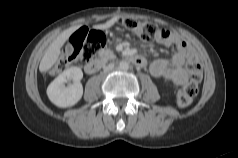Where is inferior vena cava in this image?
<instances>
[{"label": "inferior vena cava", "mask_w": 238, "mask_h": 158, "mask_svg": "<svg viewBox=\"0 0 238 158\" xmlns=\"http://www.w3.org/2000/svg\"><path fill=\"white\" fill-rule=\"evenodd\" d=\"M113 68H114V64L110 63V64H108L107 66L104 67V71L108 72V71L113 70Z\"/></svg>", "instance_id": "602c4592"}]
</instances>
